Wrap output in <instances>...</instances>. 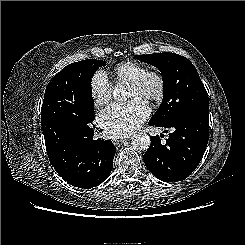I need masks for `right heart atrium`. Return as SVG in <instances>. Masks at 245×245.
<instances>
[{"label":"right heart atrium","instance_id":"1","mask_svg":"<svg viewBox=\"0 0 245 245\" xmlns=\"http://www.w3.org/2000/svg\"><path fill=\"white\" fill-rule=\"evenodd\" d=\"M90 95L96 107L109 102L112 95V83L104 71H96L89 83Z\"/></svg>","mask_w":245,"mask_h":245}]
</instances>
